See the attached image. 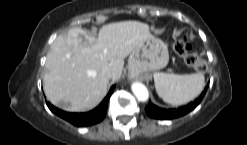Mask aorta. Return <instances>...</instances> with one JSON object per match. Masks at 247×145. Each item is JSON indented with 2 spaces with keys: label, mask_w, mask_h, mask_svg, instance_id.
<instances>
[{
  "label": "aorta",
  "mask_w": 247,
  "mask_h": 145,
  "mask_svg": "<svg viewBox=\"0 0 247 145\" xmlns=\"http://www.w3.org/2000/svg\"><path fill=\"white\" fill-rule=\"evenodd\" d=\"M131 89L135 95V97L141 101V102H145L148 100L149 98V92L148 89L146 88L145 85H143L140 82H134L131 86Z\"/></svg>",
  "instance_id": "762f6f07"
}]
</instances>
